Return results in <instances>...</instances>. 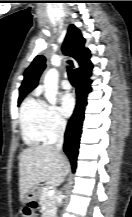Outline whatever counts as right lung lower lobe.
I'll return each mask as SVG.
<instances>
[{
	"label": "right lung lower lobe",
	"instance_id": "right-lung-lower-lobe-1",
	"mask_svg": "<svg viewBox=\"0 0 132 217\" xmlns=\"http://www.w3.org/2000/svg\"><path fill=\"white\" fill-rule=\"evenodd\" d=\"M90 83L91 81L88 80V78L78 79L76 90L77 104L65 132L64 151L70 159L73 171H75L76 168L84 109L87 104L86 98L87 94L91 91Z\"/></svg>",
	"mask_w": 132,
	"mask_h": 217
}]
</instances>
